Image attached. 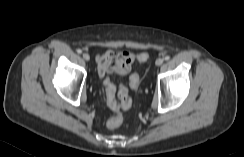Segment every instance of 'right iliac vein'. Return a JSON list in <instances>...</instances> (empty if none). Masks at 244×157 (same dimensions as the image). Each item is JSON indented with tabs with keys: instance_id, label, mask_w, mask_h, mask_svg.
<instances>
[{
	"instance_id": "63e3f726",
	"label": "right iliac vein",
	"mask_w": 244,
	"mask_h": 157,
	"mask_svg": "<svg viewBox=\"0 0 244 157\" xmlns=\"http://www.w3.org/2000/svg\"><path fill=\"white\" fill-rule=\"evenodd\" d=\"M83 58L86 60V61H89L90 60V56L88 53H84L83 54Z\"/></svg>"
}]
</instances>
